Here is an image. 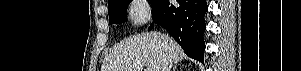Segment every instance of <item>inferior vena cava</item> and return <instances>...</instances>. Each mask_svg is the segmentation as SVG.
I'll use <instances>...</instances> for the list:
<instances>
[{
  "mask_svg": "<svg viewBox=\"0 0 301 71\" xmlns=\"http://www.w3.org/2000/svg\"><path fill=\"white\" fill-rule=\"evenodd\" d=\"M172 66V60L170 57H167L164 61L162 71H170Z\"/></svg>",
  "mask_w": 301,
  "mask_h": 71,
  "instance_id": "1",
  "label": "inferior vena cava"
}]
</instances>
